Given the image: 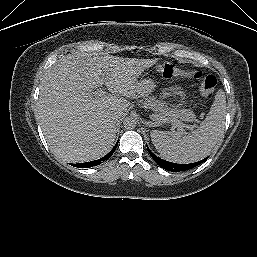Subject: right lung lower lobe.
Segmentation results:
<instances>
[{"instance_id": "1", "label": "right lung lower lobe", "mask_w": 257, "mask_h": 257, "mask_svg": "<svg viewBox=\"0 0 257 257\" xmlns=\"http://www.w3.org/2000/svg\"><path fill=\"white\" fill-rule=\"evenodd\" d=\"M117 145H118V142L116 143L114 148L107 155L102 157L101 159L91 161V162H86V163L72 164V166H75V167H78V168H89V167L99 165L100 163L104 162L105 160H108L112 156V154L114 153V151L117 148Z\"/></svg>"}]
</instances>
